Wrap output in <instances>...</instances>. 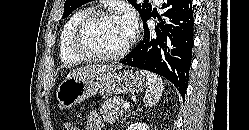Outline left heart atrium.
I'll list each match as a JSON object with an SVG mask.
<instances>
[{"mask_svg":"<svg viewBox=\"0 0 249 130\" xmlns=\"http://www.w3.org/2000/svg\"><path fill=\"white\" fill-rule=\"evenodd\" d=\"M122 17L123 19L126 21V23L128 24L132 34L135 33L136 31V18L134 16V14L129 11V10H126L123 14H122Z\"/></svg>","mask_w":249,"mask_h":130,"instance_id":"obj_1","label":"left heart atrium"}]
</instances>
